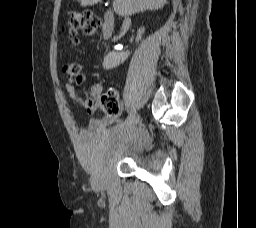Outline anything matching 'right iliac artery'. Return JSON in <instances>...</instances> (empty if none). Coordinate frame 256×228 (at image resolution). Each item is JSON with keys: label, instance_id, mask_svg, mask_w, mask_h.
<instances>
[{"label": "right iliac artery", "instance_id": "82829eb1", "mask_svg": "<svg viewBox=\"0 0 256 228\" xmlns=\"http://www.w3.org/2000/svg\"><path fill=\"white\" fill-rule=\"evenodd\" d=\"M134 115H135V110L132 109L131 112H130V114H129L128 117L126 118V120L122 123V125L128 124V123L133 119Z\"/></svg>", "mask_w": 256, "mask_h": 228}]
</instances>
